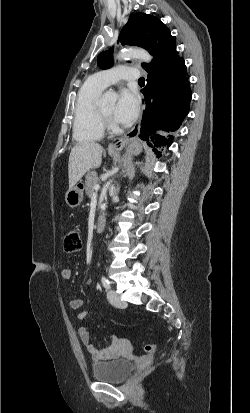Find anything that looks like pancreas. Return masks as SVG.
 Segmentation results:
<instances>
[{"label":"pancreas","instance_id":"obj_1","mask_svg":"<svg viewBox=\"0 0 250 413\" xmlns=\"http://www.w3.org/2000/svg\"><path fill=\"white\" fill-rule=\"evenodd\" d=\"M100 180L95 171H88L85 176V190L88 196L94 192V186L99 184Z\"/></svg>","mask_w":250,"mask_h":413}]
</instances>
